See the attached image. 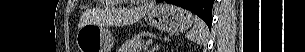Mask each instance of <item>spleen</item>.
Segmentation results:
<instances>
[{
    "instance_id": "spleen-1",
    "label": "spleen",
    "mask_w": 305,
    "mask_h": 52,
    "mask_svg": "<svg viewBox=\"0 0 305 52\" xmlns=\"http://www.w3.org/2000/svg\"><path fill=\"white\" fill-rule=\"evenodd\" d=\"M194 22L195 24L186 34V38L193 42L203 43L206 41V38L208 36L207 26L204 21L197 16H195Z\"/></svg>"
}]
</instances>
